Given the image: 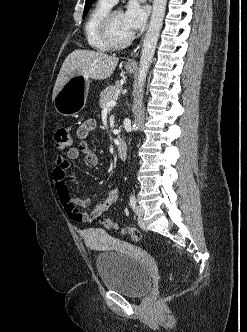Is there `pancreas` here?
Returning a JSON list of instances; mask_svg holds the SVG:
<instances>
[{"instance_id":"1","label":"pancreas","mask_w":247,"mask_h":332,"mask_svg":"<svg viewBox=\"0 0 247 332\" xmlns=\"http://www.w3.org/2000/svg\"><path fill=\"white\" fill-rule=\"evenodd\" d=\"M121 89L122 86L120 84H116L114 86H110L104 89L100 93V101H99L100 107L104 108L107 102L117 100L121 93Z\"/></svg>"}]
</instances>
